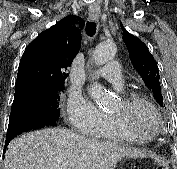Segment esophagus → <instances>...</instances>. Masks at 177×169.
Here are the masks:
<instances>
[{
    "label": "esophagus",
    "instance_id": "1",
    "mask_svg": "<svg viewBox=\"0 0 177 169\" xmlns=\"http://www.w3.org/2000/svg\"><path fill=\"white\" fill-rule=\"evenodd\" d=\"M101 11L98 5H91L89 7V20L95 21L100 17Z\"/></svg>",
    "mask_w": 177,
    "mask_h": 169
}]
</instances>
